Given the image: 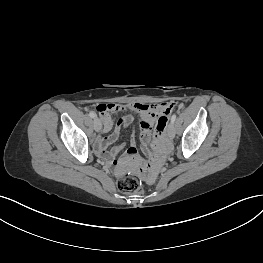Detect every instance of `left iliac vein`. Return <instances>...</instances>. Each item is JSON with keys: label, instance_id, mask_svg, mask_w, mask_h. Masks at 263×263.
I'll list each match as a JSON object with an SVG mask.
<instances>
[{"label": "left iliac vein", "instance_id": "left-iliac-vein-1", "mask_svg": "<svg viewBox=\"0 0 263 263\" xmlns=\"http://www.w3.org/2000/svg\"><path fill=\"white\" fill-rule=\"evenodd\" d=\"M167 133L170 139H173L175 137V127L173 123H170L168 125Z\"/></svg>", "mask_w": 263, "mask_h": 263}]
</instances>
